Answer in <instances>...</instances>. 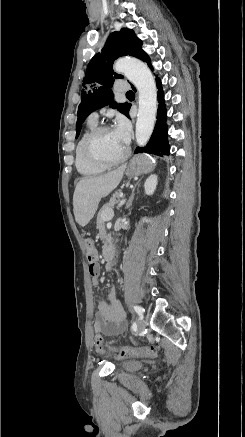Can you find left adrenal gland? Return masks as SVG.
I'll return each instance as SVG.
<instances>
[{
	"label": "left adrenal gland",
	"instance_id": "left-adrenal-gland-1",
	"mask_svg": "<svg viewBox=\"0 0 245 437\" xmlns=\"http://www.w3.org/2000/svg\"><path fill=\"white\" fill-rule=\"evenodd\" d=\"M139 182H140V180L136 183L135 187H134L133 190H132L131 196H130V198H129L127 204H126V208H127V209L130 208V207L132 206V202H133V200H134V196H135V188H136V186L139 184Z\"/></svg>",
	"mask_w": 245,
	"mask_h": 437
}]
</instances>
